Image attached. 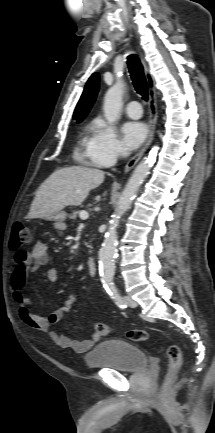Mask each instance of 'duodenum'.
Listing matches in <instances>:
<instances>
[{
  "label": "duodenum",
  "instance_id": "410a0bca",
  "mask_svg": "<svg viewBox=\"0 0 215 433\" xmlns=\"http://www.w3.org/2000/svg\"><path fill=\"white\" fill-rule=\"evenodd\" d=\"M87 269L92 276H97V266L95 261L92 258H88L86 261Z\"/></svg>",
  "mask_w": 215,
  "mask_h": 433
}]
</instances>
